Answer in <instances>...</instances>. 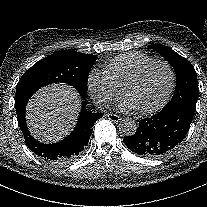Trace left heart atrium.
Masks as SVG:
<instances>
[{
  "instance_id": "obj_1",
  "label": "left heart atrium",
  "mask_w": 207,
  "mask_h": 207,
  "mask_svg": "<svg viewBox=\"0 0 207 207\" xmlns=\"http://www.w3.org/2000/svg\"><path fill=\"white\" fill-rule=\"evenodd\" d=\"M118 109L121 112H125V113H134V112H136V110L134 109V107L127 100H124L123 102H121L118 105Z\"/></svg>"
}]
</instances>
